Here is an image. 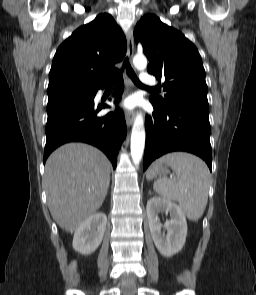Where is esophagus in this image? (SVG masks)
Listing matches in <instances>:
<instances>
[{
  "instance_id": "1",
  "label": "esophagus",
  "mask_w": 256,
  "mask_h": 295,
  "mask_svg": "<svg viewBox=\"0 0 256 295\" xmlns=\"http://www.w3.org/2000/svg\"><path fill=\"white\" fill-rule=\"evenodd\" d=\"M133 55H134V39H133V29L131 28L127 36V58L131 61ZM125 118H126L127 124L130 126L135 119V112L126 111Z\"/></svg>"
}]
</instances>
